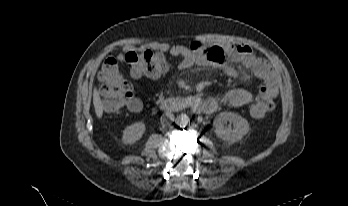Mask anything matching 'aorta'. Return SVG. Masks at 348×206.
Instances as JSON below:
<instances>
[{"label":"aorta","mask_w":348,"mask_h":206,"mask_svg":"<svg viewBox=\"0 0 348 206\" xmlns=\"http://www.w3.org/2000/svg\"><path fill=\"white\" fill-rule=\"evenodd\" d=\"M189 123L190 119L186 114H180L176 118V124L180 127H186Z\"/></svg>","instance_id":"762f6f07"}]
</instances>
